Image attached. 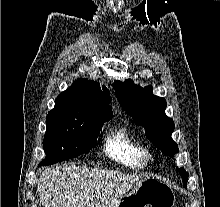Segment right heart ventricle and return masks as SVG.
<instances>
[{
    "label": "right heart ventricle",
    "instance_id": "1",
    "mask_svg": "<svg viewBox=\"0 0 220 207\" xmlns=\"http://www.w3.org/2000/svg\"><path fill=\"white\" fill-rule=\"evenodd\" d=\"M104 150L109 158L126 167L143 168L146 165L141 146L125 128H119L106 137Z\"/></svg>",
    "mask_w": 220,
    "mask_h": 207
}]
</instances>
